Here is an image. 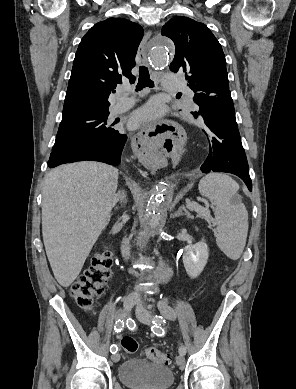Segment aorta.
<instances>
[{
    "label": "aorta",
    "instance_id": "762f6f07",
    "mask_svg": "<svg viewBox=\"0 0 296 389\" xmlns=\"http://www.w3.org/2000/svg\"><path fill=\"white\" fill-rule=\"evenodd\" d=\"M171 46L172 44L167 38L154 40L149 56L150 66L157 68L172 66L174 63V53ZM173 197L174 189L168 187L166 183H160L153 189L145 209L144 227L137 238L140 246H144L152 236L163 229ZM149 273L156 282L164 283L170 271L165 265L156 264Z\"/></svg>",
    "mask_w": 296,
    "mask_h": 389
}]
</instances>
